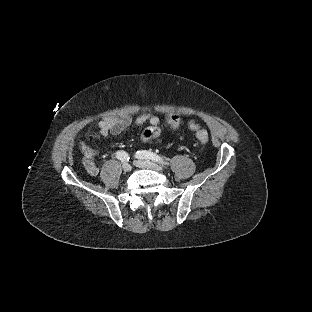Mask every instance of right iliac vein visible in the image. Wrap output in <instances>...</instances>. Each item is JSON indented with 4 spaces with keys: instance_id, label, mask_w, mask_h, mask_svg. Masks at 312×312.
Segmentation results:
<instances>
[{
    "instance_id": "63e3f726",
    "label": "right iliac vein",
    "mask_w": 312,
    "mask_h": 312,
    "mask_svg": "<svg viewBox=\"0 0 312 312\" xmlns=\"http://www.w3.org/2000/svg\"><path fill=\"white\" fill-rule=\"evenodd\" d=\"M122 169H123V171H125V172H129V171H131L132 167H131L130 164L124 163V164L122 165Z\"/></svg>"
}]
</instances>
